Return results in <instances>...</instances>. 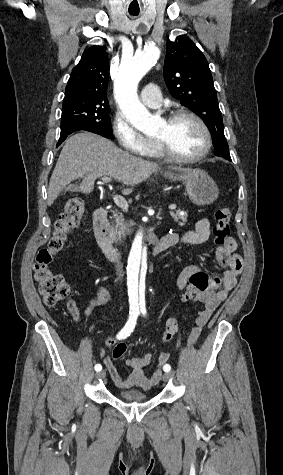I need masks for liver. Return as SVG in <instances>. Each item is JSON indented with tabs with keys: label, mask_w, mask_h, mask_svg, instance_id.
I'll return each instance as SVG.
<instances>
[{
	"label": "liver",
	"mask_w": 283,
	"mask_h": 475,
	"mask_svg": "<svg viewBox=\"0 0 283 475\" xmlns=\"http://www.w3.org/2000/svg\"><path fill=\"white\" fill-rule=\"evenodd\" d=\"M158 164L146 162L128 152H123L115 146L114 142L96 136L91 132L75 134L66 140L58 162L53 170L48 188V206H52L60 192L67 184L83 178L80 184V192L91 194L94 190V182L102 176H110L125 186L141 184L150 178L153 172H158ZM187 172V168H172ZM123 194H131L132 190H122Z\"/></svg>",
	"instance_id": "liver-1"
}]
</instances>
